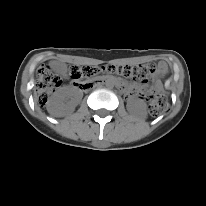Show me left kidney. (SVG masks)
I'll list each match as a JSON object with an SVG mask.
<instances>
[{"label":"left kidney","mask_w":206,"mask_h":206,"mask_svg":"<svg viewBox=\"0 0 206 206\" xmlns=\"http://www.w3.org/2000/svg\"><path fill=\"white\" fill-rule=\"evenodd\" d=\"M127 110L132 114L146 116V104L141 99H131L127 104Z\"/></svg>","instance_id":"left-kidney-1"}]
</instances>
